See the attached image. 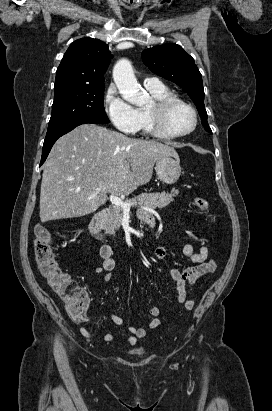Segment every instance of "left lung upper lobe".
I'll use <instances>...</instances> for the list:
<instances>
[{"mask_svg": "<svg viewBox=\"0 0 272 411\" xmlns=\"http://www.w3.org/2000/svg\"><path fill=\"white\" fill-rule=\"evenodd\" d=\"M142 60L152 72L187 91L197 107L205 130L212 133L206 122L202 76L192 56L177 44H165L143 51Z\"/></svg>", "mask_w": 272, "mask_h": 411, "instance_id": "obj_1", "label": "left lung upper lobe"}]
</instances>
